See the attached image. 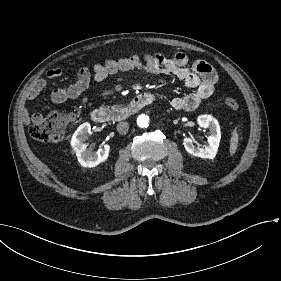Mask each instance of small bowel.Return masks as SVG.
<instances>
[{"instance_id": "obj_1", "label": "small bowel", "mask_w": 281, "mask_h": 281, "mask_svg": "<svg viewBox=\"0 0 281 281\" xmlns=\"http://www.w3.org/2000/svg\"><path fill=\"white\" fill-rule=\"evenodd\" d=\"M130 70H143L151 74H172L182 80L186 86L193 89L189 94L174 97L170 104L177 111H193L203 100L209 98L218 81L215 69L203 60L191 61L187 54L177 52L172 56L157 54H132L121 58H110L103 63H97L90 71L82 67L78 71L77 80L68 86L58 87L51 93V99L55 103L80 97L92 82L100 83L107 76L118 72ZM62 70L52 69L47 72L49 78L61 76ZM45 87L44 80L36 81L27 92V99L33 100ZM150 94V93H149ZM155 96L151 94V102ZM24 122L31 120L40 122L42 115L32 113L29 109L24 112Z\"/></svg>"}]
</instances>
